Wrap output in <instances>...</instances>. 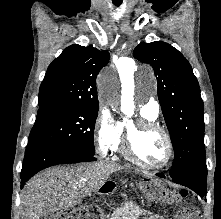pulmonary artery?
<instances>
[{"instance_id":"1","label":"pulmonary artery","mask_w":221,"mask_h":219,"mask_svg":"<svg viewBox=\"0 0 221 219\" xmlns=\"http://www.w3.org/2000/svg\"><path fill=\"white\" fill-rule=\"evenodd\" d=\"M159 110V103L154 99H150L149 101H147L141 108L142 112L148 113L153 117H156L158 115Z\"/></svg>"}]
</instances>
